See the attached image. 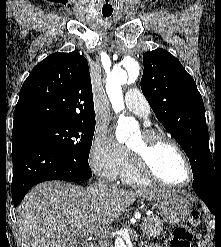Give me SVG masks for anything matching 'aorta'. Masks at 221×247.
<instances>
[{
	"mask_svg": "<svg viewBox=\"0 0 221 247\" xmlns=\"http://www.w3.org/2000/svg\"><path fill=\"white\" fill-rule=\"evenodd\" d=\"M139 64L132 60L122 66H116L108 74L106 79V92L111 102L112 108L116 113L124 109V97L122 85L130 79L135 80L139 74ZM138 129V124L132 117L120 115L118 127L116 129V139L119 142L128 140L130 132ZM114 247H128V243L121 237L115 240Z\"/></svg>",
	"mask_w": 221,
	"mask_h": 247,
	"instance_id": "762f6f07",
	"label": "aorta"
}]
</instances>
